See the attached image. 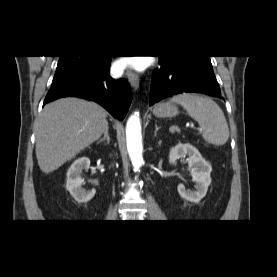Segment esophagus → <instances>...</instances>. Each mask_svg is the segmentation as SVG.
Instances as JSON below:
<instances>
[{"label":"esophagus","instance_id":"1","mask_svg":"<svg viewBox=\"0 0 277 277\" xmlns=\"http://www.w3.org/2000/svg\"><path fill=\"white\" fill-rule=\"evenodd\" d=\"M125 75L131 84V86L136 90L139 88V77L138 75L132 70V69H127L125 72Z\"/></svg>","mask_w":277,"mask_h":277}]
</instances>
